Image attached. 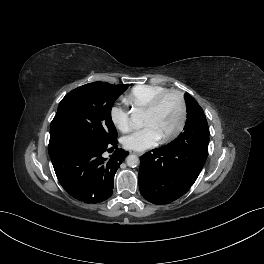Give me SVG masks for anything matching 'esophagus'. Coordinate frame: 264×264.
I'll return each mask as SVG.
<instances>
[{"mask_svg": "<svg viewBox=\"0 0 264 264\" xmlns=\"http://www.w3.org/2000/svg\"><path fill=\"white\" fill-rule=\"evenodd\" d=\"M130 153H132V154H135V155H137V156H141L142 155V153H140V152H130Z\"/></svg>", "mask_w": 264, "mask_h": 264, "instance_id": "1", "label": "esophagus"}]
</instances>
